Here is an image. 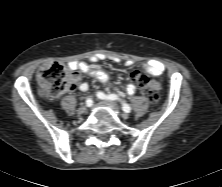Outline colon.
Returning a JSON list of instances; mask_svg holds the SVG:
<instances>
[{
	"label": "colon",
	"instance_id": "1",
	"mask_svg": "<svg viewBox=\"0 0 222 187\" xmlns=\"http://www.w3.org/2000/svg\"><path fill=\"white\" fill-rule=\"evenodd\" d=\"M37 77L43 97L47 100H54L73 89L76 73L63 64L51 62L39 68ZM136 82L152 103L159 101V86L149 74L139 72L136 75Z\"/></svg>",
	"mask_w": 222,
	"mask_h": 187
}]
</instances>
